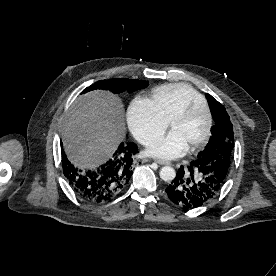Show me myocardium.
Instances as JSON below:
<instances>
[{"mask_svg":"<svg viewBox=\"0 0 276 276\" xmlns=\"http://www.w3.org/2000/svg\"><path fill=\"white\" fill-rule=\"evenodd\" d=\"M200 109L205 111L207 115V126L203 137L196 144H194L189 148L190 152H195L202 149L208 143L211 137L212 128H213V114L208 104L206 102H197V101L191 102L185 108H183L177 114H175L170 120V127H172V125L175 122L190 118L195 112H197Z\"/></svg>","mask_w":276,"mask_h":276,"instance_id":"obj_1","label":"myocardium"}]
</instances>
